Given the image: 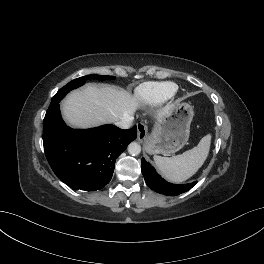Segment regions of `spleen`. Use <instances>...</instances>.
Returning a JSON list of instances; mask_svg holds the SVG:
<instances>
[{
	"label": "spleen",
	"mask_w": 264,
	"mask_h": 264,
	"mask_svg": "<svg viewBox=\"0 0 264 264\" xmlns=\"http://www.w3.org/2000/svg\"><path fill=\"white\" fill-rule=\"evenodd\" d=\"M211 134L198 145L173 157L155 156L154 161L162 176L170 182L181 183L192 177L204 164L210 150Z\"/></svg>",
	"instance_id": "3e777b00"
}]
</instances>
